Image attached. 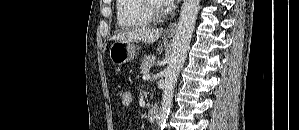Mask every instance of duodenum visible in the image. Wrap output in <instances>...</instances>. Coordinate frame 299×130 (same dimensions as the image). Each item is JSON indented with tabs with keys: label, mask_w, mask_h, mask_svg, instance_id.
<instances>
[{
	"label": "duodenum",
	"mask_w": 299,
	"mask_h": 130,
	"mask_svg": "<svg viewBox=\"0 0 299 130\" xmlns=\"http://www.w3.org/2000/svg\"><path fill=\"white\" fill-rule=\"evenodd\" d=\"M158 116V108L155 105H151L147 111V120L150 123H154Z\"/></svg>",
	"instance_id": "410a0bca"
}]
</instances>
